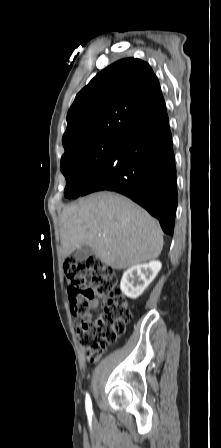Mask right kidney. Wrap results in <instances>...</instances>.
<instances>
[{"mask_svg":"<svg viewBox=\"0 0 221 448\" xmlns=\"http://www.w3.org/2000/svg\"><path fill=\"white\" fill-rule=\"evenodd\" d=\"M160 261L138 264L127 269L122 276L120 289L131 299L138 298L161 270Z\"/></svg>","mask_w":221,"mask_h":448,"instance_id":"1","label":"right kidney"}]
</instances>
